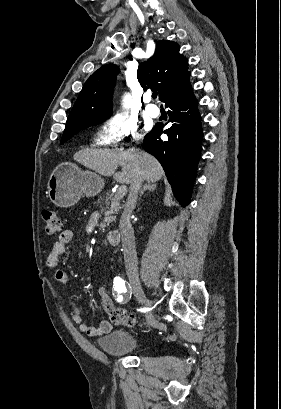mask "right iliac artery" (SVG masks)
I'll return each instance as SVG.
<instances>
[{"mask_svg": "<svg viewBox=\"0 0 281 409\" xmlns=\"http://www.w3.org/2000/svg\"><path fill=\"white\" fill-rule=\"evenodd\" d=\"M113 295L117 302H128L132 295L130 284L126 283L121 277H115L113 280Z\"/></svg>", "mask_w": 281, "mask_h": 409, "instance_id": "right-iliac-artery-1", "label": "right iliac artery"}]
</instances>
